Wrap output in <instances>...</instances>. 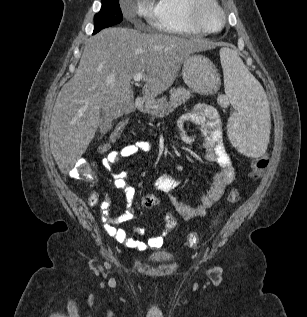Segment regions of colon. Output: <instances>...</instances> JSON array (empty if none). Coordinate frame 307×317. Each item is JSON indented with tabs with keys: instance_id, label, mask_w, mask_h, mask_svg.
Returning <instances> with one entry per match:
<instances>
[{
	"instance_id": "obj_1",
	"label": "colon",
	"mask_w": 307,
	"mask_h": 317,
	"mask_svg": "<svg viewBox=\"0 0 307 317\" xmlns=\"http://www.w3.org/2000/svg\"><path fill=\"white\" fill-rule=\"evenodd\" d=\"M126 122H119L115 128L113 129L108 140L103 142L99 146V153L102 155H107L113 151L114 144L121 137L123 130L125 128ZM269 159L267 156H262L255 159L252 163L251 169L249 171V177L252 180H258L262 177L264 170L268 166ZM70 175L75 179H83V180H94L96 178V172L94 167L86 160L82 159L78 161L75 166L71 169ZM240 199V191L237 188H233L227 197L228 204H234L238 202ZM143 204L146 208H153L158 204V199L151 194H147L143 197ZM165 225L166 228L171 231L175 229L177 222L176 219L167 214L165 217ZM199 242V236L195 232H190L186 236V243L189 246H195Z\"/></svg>"
}]
</instances>
